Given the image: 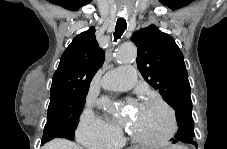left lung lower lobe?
I'll list each match as a JSON object with an SVG mask.
<instances>
[{"label":"left lung lower lobe","mask_w":227,"mask_h":149,"mask_svg":"<svg viewBox=\"0 0 227 149\" xmlns=\"http://www.w3.org/2000/svg\"><path fill=\"white\" fill-rule=\"evenodd\" d=\"M171 140L173 143H178V142L189 143L197 147V142L194 140V137H177V138L174 137Z\"/></svg>","instance_id":"left-lung-lower-lobe-1"}]
</instances>
